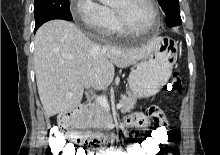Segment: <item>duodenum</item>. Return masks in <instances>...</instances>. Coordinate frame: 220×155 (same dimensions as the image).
<instances>
[{"instance_id":"410a0bca","label":"duodenum","mask_w":220,"mask_h":155,"mask_svg":"<svg viewBox=\"0 0 220 155\" xmlns=\"http://www.w3.org/2000/svg\"><path fill=\"white\" fill-rule=\"evenodd\" d=\"M82 112H83L82 105H77V106L65 111L61 115L60 125H61L62 129L64 130L65 135L67 137H69L72 141H74L75 143H81V145L85 147V150L87 153L99 151L100 147L89 146L86 143L88 140H92L93 136L88 137V136L80 133L75 128V122H76V120H78L81 117ZM94 136H98L99 138L101 137L102 138L101 140H104L103 136L101 134H96Z\"/></svg>"}]
</instances>
